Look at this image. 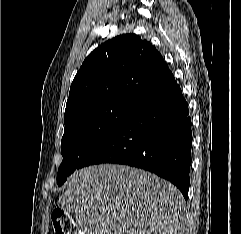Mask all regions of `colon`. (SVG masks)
Instances as JSON below:
<instances>
[{"label":"colon","instance_id":"colon-1","mask_svg":"<svg viewBox=\"0 0 241 234\" xmlns=\"http://www.w3.org/2000/svg\"><path fill=\"white\" fill-rule=\"evenodd\" d=\"M52 222L56 234H79L71 215L61 208L53 211Z\"/></svg>","mask_w":241,"mask_h":234}]
</instances>
